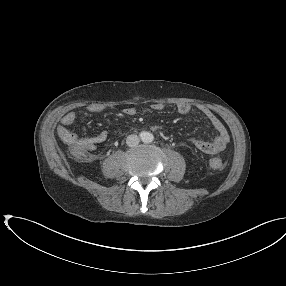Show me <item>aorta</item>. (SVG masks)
<instances>
[{"mask_svg":"<svg viewBox=\"0 0 286 286\" xmlns=\"http://www.w3.org/2000/svg\"><path fill=\"white\" fill-rule=\"evenodd\" d=\"M153 135L149 132H145L142 134V141L145 143H150L153 141Z\"/></svg>","mask_w":286,"mask_h":286,"instance_id":"1","label":"aorta"}]
</instances>
